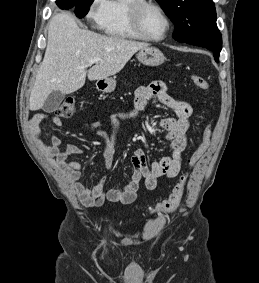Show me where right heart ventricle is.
Returning <instances> with one entry per match:
<instances>
[{
	"label": "right heart ventricle",
	"mask_w": 259,
	"mask_h": 283,
	"mask_svg": "<svg viewBox=\"0 0 259 283\" xmlns=\"http://www.w3.org/2000/svg\"><path fill=\"white\" fill-rule=\"evenodd\" d=\"M135 0H108L106 11L100 24L108 36L119 39H141L132 27L129 8Z\"/></svg>",
	"instance_id": "1"
}]
</instances>
